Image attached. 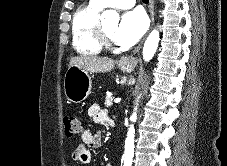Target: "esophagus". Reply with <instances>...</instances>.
I'll use <instances>...</instances> for the list:
<instances>
[{"label":"esophagus","mask_w":227,"mask_h":166,"mask_svg":"<svg viewBox=\"0 0 227 166\" xmlns=\"http://www.w3.org/2000/svg\"><path fill=\"white\" fill-rule=\"evenodd\" d=\"M149 13H150V18H151V26L150 29L153 27L154 24V0H149ZM143 42V41H142ZM141 44H139L133 51V54L130 56H123L120 60H119V64H130L134 62V55L137 54L140 51L141 48Z\"/></svg>","instance_id":"1"}]
</instances>
